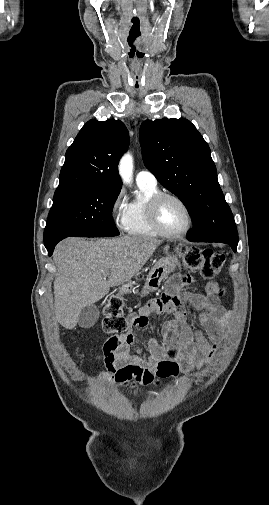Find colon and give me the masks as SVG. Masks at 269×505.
<instances>
[{
  "instance_id": "5ec220e1",
  "label": "colon",
  "mask_w": 269,
  "mask_h": 505,
  "mask_svg": "<svg viewBox=\"0 0 269 505\" xmlns=\"http://www.w3.org/2000/svg\"><path fill=\"white\" fill-rule=\"evenodd\" d=\"M185 260V265L192 271L201 274L203 281H220L221 270L224 266L225 257L222 253L212 249H199L197 247L181 246L179 249ZM141 278V275H139ZM132 290L131 284H126L117 293L107 297L103 309L102 327L111 338L124 335L129 330V323L124 316V296ZM169 298L170 295H167ZM153 303V302H152ZM110 338V339H111Z\"/></svg>"
}]
</instances>
